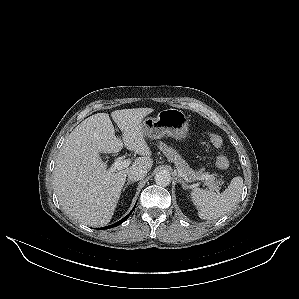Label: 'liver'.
<instances>
[{"label": "liver", "instance_id": "obj_1", "mask_svg": "<svg viewBox=\"0 0 299 299\" xmlns=\"http://www.w3.org/2000/svg\"><path fill=\"white\" fill-rule=\"evenodd\" d=\"M152 108L116 110L111 117L123 133L122 140L107 113L83 120L67 137L53 171L54 190L64 212L81 223L99 227L110 222L130 168L153 166L151 150L141 129ZM124 146L141 155L129 168L110 171L100 153H117Z\"/></svg>", "mask_w": 299, "mask_h": 299}]
</instances>
